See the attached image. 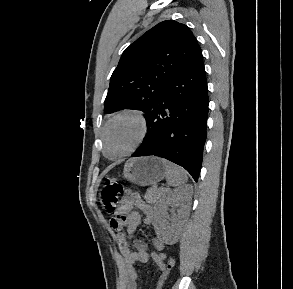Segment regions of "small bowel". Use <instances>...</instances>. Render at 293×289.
Here are the masks:
<instances>
[{
    "mask_svg": "<svg viewBox=\"0 0 293 289\" xmlns=\"http://www.w3.org/2000/svg\"><path fill=\"white\" fill-rule=\"evenodd\" d=\"M138 210L144 214V224L150 228L155 216V210L152 205L144 202L137 193L126 192L121 198L120 206L112 217L122 222V226L118 229L116 238L123 259L127 289H139L141 274L139 270L135 268V264H144L152 259L158 268L162 270L166 259L164 243L155 236L151 239L155 249L154 252L150 253L146 243L140 239L134 240V249L129 245L128 236L135 232L141 222V215ZM111 227L113 228L112 225ZM122 227H126V232L121 230Z\"/></svg>",
    "mask_w": 293,
    "mask_h": 289,
    "instance_id": "obj_1",
    "label": "small bowel"
}]
</instances>
